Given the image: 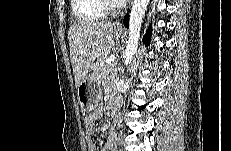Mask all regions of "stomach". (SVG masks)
<instances>
[{
    "label": "stomach",
    "mask_w": 231,
    "mask_h": 151,
    "mask_svg": "<svg viewBox=\"0 0 231 151\" xmlns=\"http://www.w3.org/2000/svg\"><path fill=\"white\" fill-rule=\"evenodd\" d=\"M114 37L119 40L123 38L122 30H115ZM101 96L99 81L93 72L87 74L77 88L78 102L81 110L91 112L98 104Z\"/></svg>",
    "instance_id": "0dacf381"
}]
</instances>
